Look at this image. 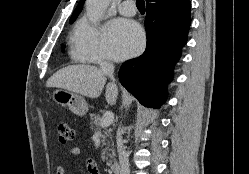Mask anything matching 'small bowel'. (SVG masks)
Wrapping results in <instances>:
<instances>
[{"label": "small bowel", "instance_id": "1", "mask_svg": "<svg viewBox=\"0 0 249 174\" xmlns=\"http://www.w3.org/2000/svg\"><path fill=\"white\" fill-rule=\"evenodd\" d=\"M69 155L72 157H77L81 154V149L79 147H72L69 149ZM85 166L88 174H100L97 163L94 159L88 157L85 159ZM56 174H65V169L63 166H58L56 169Z\"/></svg>", "mask_w": 249, "mask_h": 174}]
</instances>
